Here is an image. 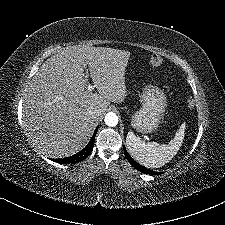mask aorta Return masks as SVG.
I'll return each mask as SVG.
<instances>
[{
  "mask_svg": "<svg viewBox=\"0 0 225 225\" xmlns=\"http://www.w3.org/2000/svg\"><path fill=\"white\" fill-rule=\"evenodd\" d=\"M105 124L114 127L118 124V117L114 113H108L105 116Z\"/></svg>",
  "mask_w": 225,
  "mask_h": 225,
  "instance_id": "aorta-1",
  "label": "aorta"
}]
</instances>
